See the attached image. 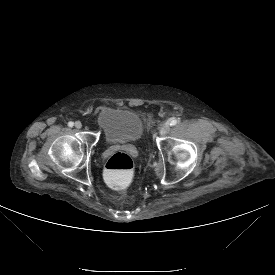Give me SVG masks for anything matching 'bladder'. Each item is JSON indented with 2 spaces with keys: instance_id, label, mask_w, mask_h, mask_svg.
Instances as JSON below:
<instances>
[{
  "instance_id": "bladder-1",
  "label": "bladder",
  "mask_w": 275,
  "mask_h": 275,
  "mask_svg": "<svg viewBox=\"0 0 275 275\" xmlns=\"http://www.w3.org/2000/svg\"><path fill=\"white\" fill-rule=\"evenodd\" d=\"M96 121L105 139L109 143H132L143 132L142 115L130 108L103 107Z\"/></svg>"
}]
</instances>
